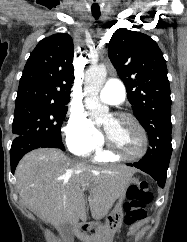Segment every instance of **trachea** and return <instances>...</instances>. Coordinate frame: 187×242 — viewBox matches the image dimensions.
Listing matches in <instances>:
<instances>
[{
    "label": "trachea",
    "mask_w": 187,
    "mask_h": 242,
    "mask_svg": "<svg viewBox=\"0 0 187 242\" xmlns=\"http://www.w3.org/2000/svg\"><path fill=\"white\" fill-rule=\"evenodd\" d=\"M92 15L97 20L100 17V12H92Z\"/></svg>",
    "instance_id": "trachea-1"
}]
</instances>
